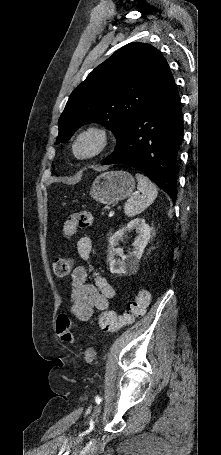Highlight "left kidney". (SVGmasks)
Returning <instances> with one entry per match:
<instances>
[{
  "label": "left kidney",
  "instance_id": "obj_1",
  "mask_svg": "<svg viewBox=\"0 0 221 455\" xmlns=\"http://www.w3.org/2000/svg\"><path fill=\"white\" fill-rule=\"evenodd\" d=\"M134 229L136 230L138 236L133 243L132 251L125 255L123 253V249L119 247L116 248V246L119 241L123 239V235L126 232ZM150 237L151 229L143 218H136L130 221L127 226L116 231L109 239L110 247L108 252V263L110 272L114 274H122L135 269L146 245L150 240ZM116 255L119 256L120 259H116Z\"/></svg>",
  "mask_w": 221,
  "mask_h": 455
}]
</instances>
